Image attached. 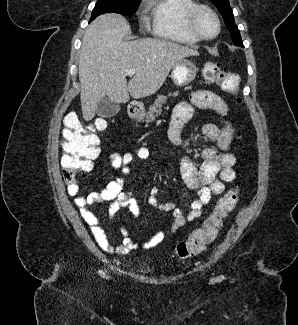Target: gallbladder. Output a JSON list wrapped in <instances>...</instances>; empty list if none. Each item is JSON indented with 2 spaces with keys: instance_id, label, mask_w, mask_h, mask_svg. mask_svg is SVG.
<instances>
[{
  "instance_id": "gallbladder-1",
  "label": "gallbladder",
  "mask_w": 298,
  "mask_h": 325,
  "mask_svg": "<svg viewBox=\"0 0 298 325\" xmlns=\"http://www.w3.org/2000/svg\"><path fill=\"white\" fill-rule=\"evenodd\" d=\"M120 106L116 102L109 100L108 96H104L97 104L96 114L101 118H108V116H115L119 112Z\"/></svg>"
}]
</instances>
